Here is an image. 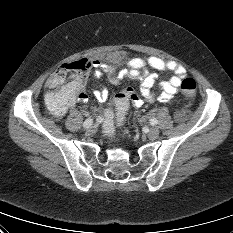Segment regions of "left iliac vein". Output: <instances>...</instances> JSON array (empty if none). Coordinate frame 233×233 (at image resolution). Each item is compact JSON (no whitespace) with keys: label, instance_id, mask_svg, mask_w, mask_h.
<instances>
[{"label":"left iliac vein","instance_id":"obj_1","mask_svg":"<svg viewBox=\"0 0 233 233\" xmlns=\"http://www.w3.org/2000/svg\"><path fill=\"white\" fill-rule=\"evenodd\" d=\"M147 136H148L149 139L155 140L159 136V130L157 128H155V127H152V128H150L148 130Z\"/></svg>","mask_w":233,"mask_h":233}]
</instances>
